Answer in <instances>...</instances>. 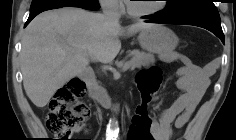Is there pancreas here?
Masks as SVG:
<instances>
[{
  "label": "pancreas",
  "mask_w": 236,
  "mask_h": 140,
  "mask_svg": "<svg viewBox=\"0 0 236 140\" xmlns=\"http://www.w3.org/2000/svg\"><path fill=\"white\" fill-rule=\"evenodd\" d=\"M129 55L132 56L130 60V68H140L142 66H149L155 62V58L152 54L145 53L139 50H132L129 52Z\"/></svg>",
  "instance_id": "cf45deb5"
}]
</instances>
